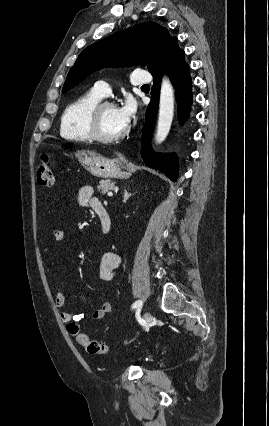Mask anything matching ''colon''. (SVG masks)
Returning <instances> with one entry per match:
<instances>
[{
	"mask_svg": "<svg viewBox=\"0 0 269 426\" xmlns=\"http://www.w3.org/2000/svg\"><path fill=\"white\" fill-rule=\"evenodd\" d=\"M37 179L39 185L44 188H50L54 184L53 171L47 154H43L40 157L37 166ZM68 329L76 341L81 344L88 353L99 355L108 353V344L90 339L85 333L79 331L75 323H70Z\"/></svg>",
	"mask_w": 269,
	"mask_h": 426,
	"instance_id": "obj_1",
	"label": "colon"
}]
</instances>
